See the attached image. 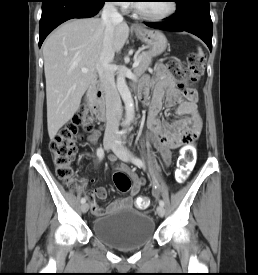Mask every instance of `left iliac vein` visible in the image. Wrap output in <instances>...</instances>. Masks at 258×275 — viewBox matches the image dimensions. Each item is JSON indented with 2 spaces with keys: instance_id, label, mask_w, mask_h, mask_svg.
<instances>
[{
  "instance_id": "obj_1",
  "label": "left iliac vein",
  "mask_w": 258,
  "mask_h": 275,
  "mask_svg": "<svg viewBox=\"0 0 258 275\" xmlns=\"http://www.w3.org/2000/svg\"><path fill=\"white\" fill-rule=\"evenodd\" d=\"M112 151L121 160H123L125 162H130L131 152L127 148L122 146L121 144L114 143L112 146ZM157 213L160 217H163L165 215V208L163 206L159 205L157 207Z\"/></svg>"
}]
</instances>
